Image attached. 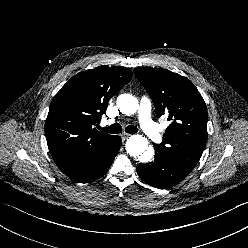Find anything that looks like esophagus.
<instances>
[{"label":"esophagus","mask_w":248,"mask_h":248,"mask_svg":"<svg viewBox=\"0 0 248 248\" xmlns=\"http://www.w3.org/2000/svg\"><path fill=\"white\" fill-rule=\"evenodd\" d=\"M130 136V134H128V133H122L121 134V137H122V139H127L128 137Z\"/></svg>","instance_id":"obj_1"}]
</instances>
